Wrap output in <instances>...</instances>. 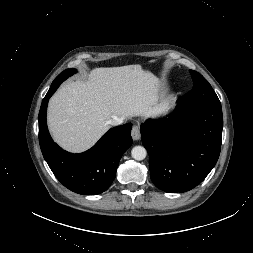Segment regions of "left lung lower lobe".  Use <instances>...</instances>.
Here are the masks:
<instances>
[{"mask_svg": "<svg viewBox=\"0 0 253 253\" xmlns=\"http://www.w3.org/2000/svg\"><path fill=\"white\" fill-rule=\"evenodd\" d=\"M178 103L169 118L141 125L151 180L168 193L186 192L200 184L215 166L222 142L221 105L179 99Z\"/></svg>", "mask_w": 253, "mask_h": 253, "instance_id": "1", "label": "left lung lower lobe"}]
</instances>
